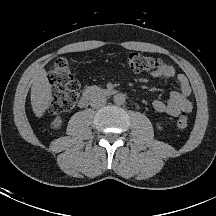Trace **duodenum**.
I'll return each mask as SVG.
<instances>
[{"mask_svg":"<svg viewBox=\"0 0 216 216\" xmlns=\"http://www.w3.org/2000/svg\"><path fill=\"white\" fill-rule=\"evenodd\" d=\"M117 94V91L114 89H108V88H87L84 93L82 94L80 100H79V106L80 107H85L88 105L90 100L98 95H103V96H111Z\"/></svg>","mask_w":216,"mask_h":216,"instance_id":"duodenum-1","label":"duodenum"}]
</instances>
